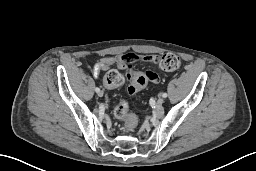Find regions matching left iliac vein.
Segmentation results:
<instances>
[{
  "mask_svg": "<svg viewBox=\"0 0 256 171\" xmlns=\"http://www.w3.org/2000/svg\"><path fill=\"white\" fill-rule=\"evenodd\" d=\"M163 103H164V99H163L162 97H160V98L157 100V106L160 107Z\"/></svg>",
  "mask_w": 256,
  "mask_h": 171,
  "instance_id": "4c4485c4",
  "label": "left iliac vein"
}]
</instances>
